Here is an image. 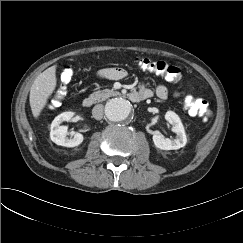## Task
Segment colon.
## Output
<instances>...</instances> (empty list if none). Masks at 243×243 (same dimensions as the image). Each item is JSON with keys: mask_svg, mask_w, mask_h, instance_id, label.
<instances>
[{"mask_svg": "<svg viewBox=\"0 0 243 243\" xmlns=\"http://www.w3.org/2000/svg\"><path fill=\"white\" fill-rule=\"evenodd\" d=\"M135 63L142 69L156 72L164 76L170 82H177L181 78V70L179 67L166 63L164 61H153L145 57L135 58ZM73 78V70L71 67H66L60 76V85L57 88L55 94L51 98V104L56 106L65 97L67 93V86ZM186 104L195 115L202 116L206 121L210 117L208 102L203 98H196L194 100L187 98Z\"/></svg>", "mask_w": 243, "mask_h": 243, "instance_id": "1", "label": "colon"}]
</instances>
